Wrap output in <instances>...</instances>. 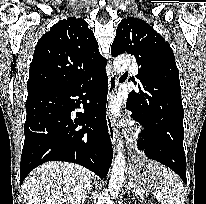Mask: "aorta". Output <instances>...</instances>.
Segmentation results:
<instances>
[{
  "label": "aorta",
  "instance_id": "1",
  "mask_svg": "<svg viewBox=\"0 0 206 204\" xmlns=\"http://www.w3.org/2000/svg\"><path fill=\"white\" fill-rule=\"evenodd\" d=\"M130 65V58L125 55H121L115 58L113 62L114 71L118 74H122L126 71ZM123 143L120 140L117 144V154L114 159L112 166L110 181L108 190L112 197H115L120 192L123 182H124V172H125V156L122 151Z\"/></svg>",
  "mask_w": 206,
  "mask_h": 204
}]
</instances>
